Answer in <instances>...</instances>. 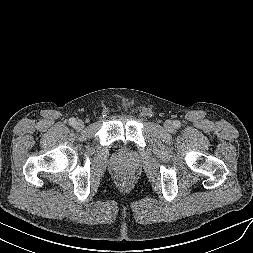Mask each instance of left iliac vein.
Instances as JSON below:
<instances>
[{"label":"left iliac vein","mask_w":253,"mask_h":253,"mask_svg":"<svg viewBox=\"0 0 253 253\" xmlns=\"http://www.w3.org/2000/svg\"><path fill=\"white\" fill-rule=\"evenodd\" d=\"M164 126H165V129L169 132H172L174 130V127L170 121H167Z\"/></svg>","instance_id":"4c4485c4"}]
</instances>
